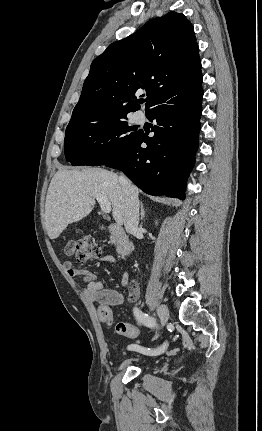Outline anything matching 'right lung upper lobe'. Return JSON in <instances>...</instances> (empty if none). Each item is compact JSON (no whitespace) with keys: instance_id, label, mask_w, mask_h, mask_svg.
Wrapping results in <instances>:
<instances>
[{"instance_id":"cb5924a9","label":"right lung upper lobe","mask_w":262,"mask_h":431,"mask_svg":"<svg viewBox=\"0 0 262 431\" xmlns=\"http://www.w3.org/2000/svg\"><path fill=\"white\" fill-rule=\"evenodd\" d=\"M201 83L193 26L183 14L169 12L110 44L92 62L69 124L134 112L140 108L136 95L143 91L148 115L160 106L190 97Z\"/></svg>"}]
</instances>
